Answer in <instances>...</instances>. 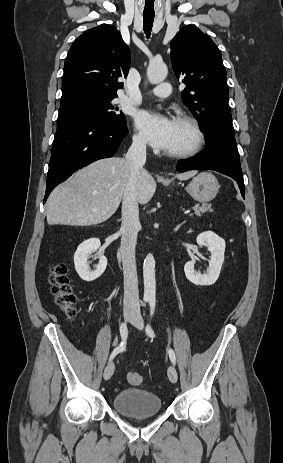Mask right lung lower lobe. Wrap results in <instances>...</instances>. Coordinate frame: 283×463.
<instances>
[{
  "mask_svg": "<svg viewBox=\"0 0 283 463\" xmlns=\"http://www.w3.org/2000/svg\"><path fill=\"white\" fill-rule=\"evenodd\" d=\"M128 134L126 121L111 123L99 120H79L58 127L52 144L44 197L73 172L88 164L112 157Z\"/></svg>",
  "mask_w": 283,
  "mask_h": 463,
  "instance_id": "right-lung-lower-lobe-1",
  "label": "right lung lower lobe"
}]
</instances>
